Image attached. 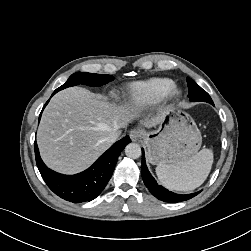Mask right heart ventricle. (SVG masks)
<instances>
[{
	"label": "right heart ventricle",
	"instance_id": "e07e8e85",
	"mask_svg": "<svg viewBox=\"0 0 251 251\" xmlns=\"http://www.w3.org/2000/svg\"><path fill=\"white\" fill-rule=\"evenodd\" d=\"M174 81L166 77H154L133 83L130 87V102L136 106H152L163 100Z\"/></svg>",
	"mask_w": 251,
	"mask_h": 251
}]
</instances>
